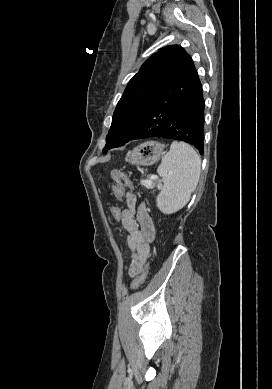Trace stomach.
I'll return each mask as SVG.
<instances>
[{
	"instance_id": "1",
	"label": "stomach",
	"mask_w": 272,
	"mask_h": 389,
	"mask_svg": "<svg viewBox=\"0 0 272 389\" xmlns=\"http://www.w3.org/2000/svg\"><path fill=\"white\" fill-rule=\"evenodd\" d=\"M164 145L158 141H148L130 151L125 160L133 165H152L164 154Z\"/></svg>"
}]
</instances>
